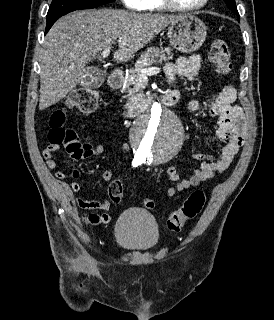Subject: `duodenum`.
<instances>
[{
	"instance_id": "obj_1",
	"label": "duodenum",
	"mask_w": 274,
	"mask_h": 320,
	"mask_svg": "<svg viewBox=\"0 0 274 320\" xmlns=\"http://www.w3.org/2000/svg\"><path fill=\"white\" fill-rule=\"evenodd\" d=\"M123 80V74L120 71H113L109 74L108 81L109 86L113 90H116L120 87L121 82ZM179 101V93L178 92H170L169 94L161 97L159 102L165 106H170L176 104ZM154 104V100L149 98H143L137 101L134 107L125 113L127 118H134L142 112L149 109Z\"/></svg>"
}]
</instances>
